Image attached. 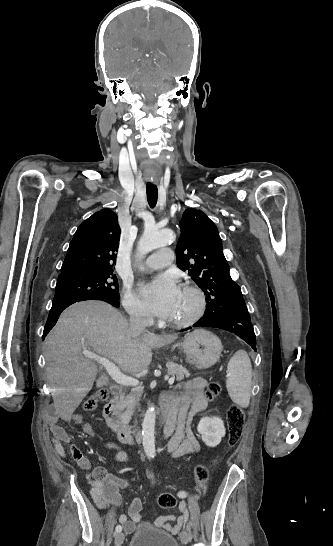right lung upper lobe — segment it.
<instances>
[{"instance_id":"1","label":"right lung upper lobe","mask_w":333,"mask_h":546,"mask_svg":"<svg viewBox=\"0 0 333 546\" xmlns=\"http://www.w3.org/2000/svg\"><path fill=\"white\" fill-rule=\"evenodd\" d=\"M120 227L110 209L96 212L78 227L59 276L74 272L113 271Z\"/></svg>"}]
</instances>
